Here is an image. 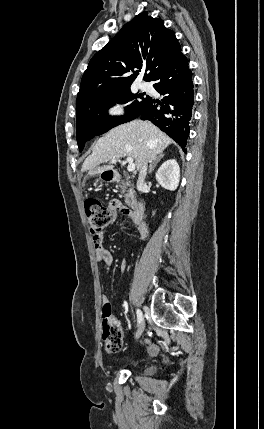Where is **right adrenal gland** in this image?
Masks as SVG:
<instances>
[{
  "mask_svg": "<svg viewBox=\"0 0 264 429\" xmlns=\"http://www.w3.org/2000/svg\"><path fill=\"white\" fill-rule=\"evenodd\" d=\"M164 154H160L157 158H155L149 167V174L152 173V171L154 170V168L156 167V165L160 162V160L163 158Z\"/></svg>",
  "mask_w": 264,
  "mask_h": 429,
  "instance_id": "2a0ac1e0",
  "label": "right adrenal gland"
}]
</instances>
